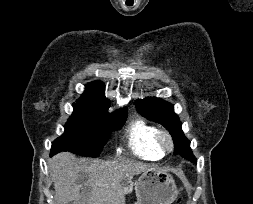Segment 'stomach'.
I'll list each match as a JSON object with an SVG mask.
<instances>
[{
  "mask_svg": "<svg viewBox=\"0 0 253 204\" xmlns=\"http://www.w3.org/2000/svg\"><path fill=\"white\" fill-rule=\"evenodd\" d=\"M135 204H172L178 189L173 176L162 168L149 167L135 183Z\"/></svg>",
  "mask_w": 253,
  "mask_h": 204,
  "instance_id": "obj_1",
  "label": "stomach"
}]
</instances>
